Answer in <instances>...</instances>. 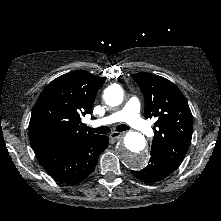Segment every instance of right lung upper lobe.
Returning a JSON list of instances; mask_svg holds the SVG:
<instances>
[{
	"instance_id": "cb5924a9",
	"label": "right lung upper lobe",
	"mask_w": 221,
	"mask_h": 221,
	"mask_svg": "<svg viewBox=\"0 0 221 221\" xmlns=\"http://www.w3.org/2000/svg\"><path fill=\"white\" fill-rule=\"evenodd\" d=\"M104 82V78L76 70L49 83L39 96L29 123V139L34 151L96 137L81 128L80 118L91 112L97 91Z\"/></svg>"
}]
</instances>
